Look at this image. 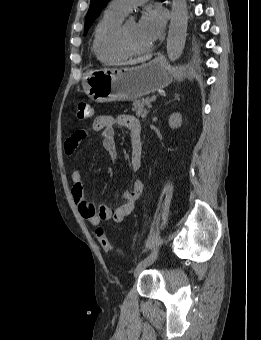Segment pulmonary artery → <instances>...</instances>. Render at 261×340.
<instances>
[{"label": "pulmonary artery", "instance_id": "e3ab8cb5", "mask_svg": "<svg viewBox=\"0 0 261 340\" xmlns=\"http://www.w3.org/2000/svg\"><path fill=\"white\" fill-rule=\"evenodd\" d=\"M145 1L146 0H112L109 3V7L126 15L132 7Z\"/></svg>", "mask_w": 261, "mask_h": 340}]
</instances>
